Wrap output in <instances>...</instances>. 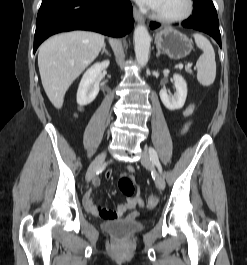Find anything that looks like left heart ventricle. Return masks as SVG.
Masks as SVG:
<instances>
[{
	"instance_id": "b2bd125f",
	"label": "left heart ventricle",
	"mask_w": 247,
	"mask_h": 265,
	"mask_svg": "<svg viewBox=\"0 0 247 265\" xmlns=\"http://www.w3.org/2000/svg\"><path fill=\"white\" fill-rule=\"evenodd\" d=\"M186 0H158L154 10L160 14L174 16L185 8Z\"/></svg>"
}]
</instances>
